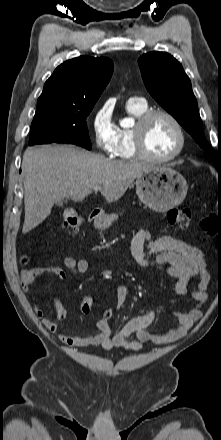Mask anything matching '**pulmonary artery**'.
Instances as JSON below:
<instances>
[{
	"instance_id": "pulmonary-artery-1",
	"label": "pulmonary artery",
	"mask_w": 221,
	"mask_h": 440,
	"mask_svg": "<svg viewBox=\"0 0 221 440\" xmlns=\"http://www.w3.org/2000/svg\"><path fill=\"white\" fill-rule=\"evenodd\" d=\"M129 101H139V102H144V99L142 97H131L129 99Z\"/></svg>"
}]
</instances>
